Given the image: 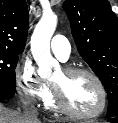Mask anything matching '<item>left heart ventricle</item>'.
<instances>
[{"label":"left heart ventricle","instance_id":"1","mask_svg":"<svg viewBox=\"0 0 118 123\" xmlns=\"http://www.w3.org/2000/svg\"><path fill=\"white\" fill-rule=\"evenodd\" d=\"M50 82L60 89L64 101L73 110L88 114L99 108L100 92L89 76L85 74L67 75L61 69L50 79Z\"/></svg>","mask_w":118,"mask_h":123}]
</instances>
